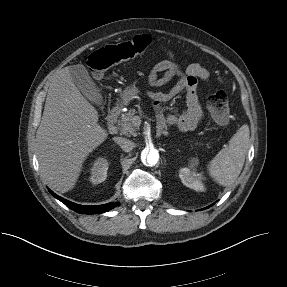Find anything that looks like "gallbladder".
Here are the masks:
<instances>
[{
	"mask_svg": "<svg viewBox=\"0 0 287 287\" xmlns=\"http://www.w3.org/2000/svg\"><path fill=\"white\" fill-rule=\"evenodd\" d=\"M73 82L81 93L93 104L102 107L103 97L99 88L94 83L88 70L82 64H76L69 67Z\"/></svg>",
	"mask_w": 287,
	"mask_h": 287,
	"instance_id": "obj_1",
	"label": "gallbladder"
}]
</instances>
